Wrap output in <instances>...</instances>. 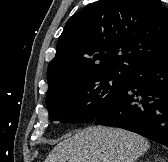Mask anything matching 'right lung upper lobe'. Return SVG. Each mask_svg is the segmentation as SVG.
Instances as JSON below:
<instances>
[{
    "label": "right lung upper lobe",
    "instance_id": "1",
    "mask_svg": "<svg viewBox=\"0 0 168 162\" xmlns=\"http://www.w3.org/2000/svg\"><path fill=\"white\" fill-rule=\"evenodd\" d=\"M168 56V9L160 0H100L65 24L47 69L48 90L91 74H131Z\"/></svg>",
    "mask_w": 168,
    "mask_h": 162
}]
</instances>
